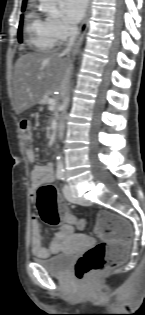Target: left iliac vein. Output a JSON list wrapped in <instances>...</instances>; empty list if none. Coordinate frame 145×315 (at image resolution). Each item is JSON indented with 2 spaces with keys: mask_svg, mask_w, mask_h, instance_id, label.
<instances>
[{
  "mask_svg": "<svg viewBox=\"0 0 145 315\" xmlns=\"http://www.w3.org/2000/svg\"><path fill=\"white\" fill-rule=\"evenodd\" d=\"M63 194H64V197L69 201V202H76V198L72 192V189L70 187V185L68 183H66L64 185V188H63Z\"/></svg>",
  "mask_w": 145,
  "mask_h": 315,
  "instance_id": "1",
  "label": "left iliac vein"
}]
</instances>
